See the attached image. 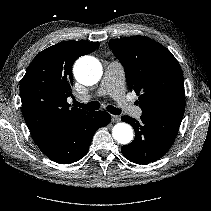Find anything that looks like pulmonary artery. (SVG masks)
Returning a JSON list of instances; mask_svg holds the SVG:
<instances>
[{
	"mask_svg": "<svg viewBox=\"0 0 211 211\" xmlns=\"http://www.w3.org/2000/svg\"><path fill=\"white\" fill-rule=\"evenodd\" d=\"M124 92L125 76L123 67L118 62H111L105 68L104 77L97 94L111 95L122 105L126 112L136 118H139L142 115V109L140 107L133 106L131 103L126 101Z\"/></svg>",
	"mask_w": 211,
	"mask_h": 211,
	"instance_id": "obj_1",
	"label": "pulmonary artery"
}]
</instances>
